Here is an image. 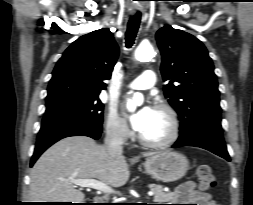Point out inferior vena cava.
I'll use <instances>...</instances> for the list:
<instances>
[{"instance_id": "602c4592", "label": "inferior vena cava", "mask_w": 253, "mask_h": 205, "mask_svg": "<svg viewBox=\"0 0 253 205\" xmlns=\"http://www.w3.org/2000/svg\"><path fill=\"white\" fill-rule=\"evenodd\" d=\"M123 127H111L107 130L106 137L104 140L105 148L112 155H122L123 152Z\"/></svg>"}]
</instances>
